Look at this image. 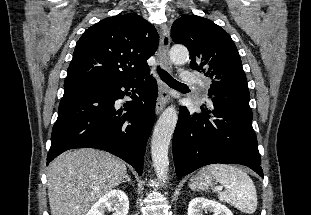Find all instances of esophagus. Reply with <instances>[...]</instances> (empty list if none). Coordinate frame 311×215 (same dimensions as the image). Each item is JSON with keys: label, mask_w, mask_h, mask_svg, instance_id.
Returning <instances> with one entry per match:
<instances>
[{"label": "esophagus", "mask_w": 311, "mask_h": 215, "mask_svg": "<svg viewBox=\"0 0 311 215\" xmlns=\"http://www.w3.org/2000/svg\"><path fill=\"white\" fill-rule=\"evenodd\" d=\"M169 48H170V33L165 24L160 25V45H159V56L161 64L164 69L170 71L172 68L169 59ZM170 99V93L167 85L159 80V95L155 107L156 114H159L164 107L167 105Z\"/></svg>", "instance_id": "esophagus-1"}]
</instances>
